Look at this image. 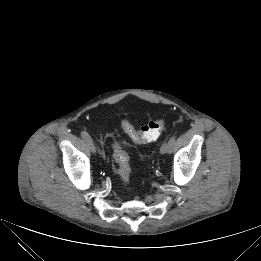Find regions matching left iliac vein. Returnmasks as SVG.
<instances>
[{
	"instance_id": "4c4485c4",
	"label": "left iliac vein",
	"mask_w": 261,
	"mask_h": 261,
	"mask_svg": "<svg viewBox=\"0 0 261 261\" xmlns=\"http://www.w3.org/2000/svg\"><path fill=\"white\" fill-rule=\"evenodd\" d=\"M167 152H169V144H168V142H165L162 144V146L160 148V153L165 154Z\"/></svg>"
}]
</instances>
